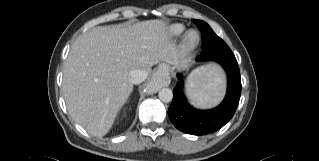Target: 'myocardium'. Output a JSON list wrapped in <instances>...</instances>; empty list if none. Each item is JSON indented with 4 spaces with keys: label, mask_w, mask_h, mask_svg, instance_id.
I'll use <instances>...</instances> for the list:
<instances>
[{
    "label": "myocardium",
    "mask_w": 319,
    "mask_h": 161,
    "mask_svg": "<svg viewBox=\"0 0 319 161\" xmlns=\"http://www.w3.org/2000/svg\"><path fill=\"white\" fill-rule=\"evenodd\" d=\"M199 43V34L195 30H190L186 33L183 40V49L185 52H190L196 48Z\"/></svg>",
    "instance_id": "obj_1"
}]
</instances>
